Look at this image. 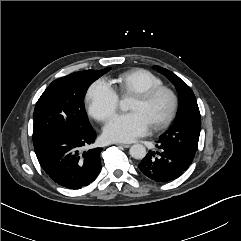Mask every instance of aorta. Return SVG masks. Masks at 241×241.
Wrapping results in <instances>:
<instances>
[{
  "instance_id": "aorta-1",
  "label": "aorta",
  "mask_w": 241,
  "mask_h": 241,
  "mask_svg": "<svg viewBox=\"0 0 241 241\" xmlns=\"http://www.w3.org/2000/svg\"><path fill=\"white\" fill-rule=\"evenodd\" d=\"M120 108L123 111H127L130 108V101L123 99L120 101ZM130 155L135 159H143L146 156V148L142 144H134L130 148Z\"/></svg>"
}]
</instances>
